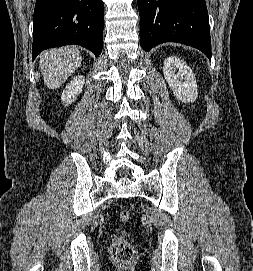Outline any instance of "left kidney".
<instances>
[{"instance_id":"left-kidney-1","label":"left kidney","mask_w":253,"mask_h":271,"mask_svg":"<svg viewBox=\"0 0 253 271\" xmlns=\"http://www.w3.org/2000/svg\"><path fill=\"white\" fill-rule=\"evenodd\" d=\"M165 80L180 101L194 102L198 97L197 83L191 68L180 58L170 56L164 61Z\"/></svg>"}]
</instances>
